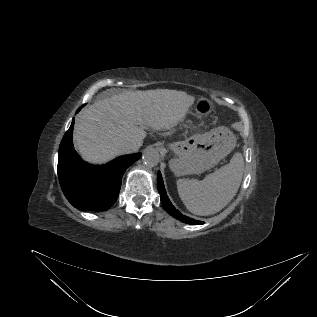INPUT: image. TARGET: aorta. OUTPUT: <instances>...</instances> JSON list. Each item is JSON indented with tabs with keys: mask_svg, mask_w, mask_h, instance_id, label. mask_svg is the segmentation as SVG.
<instances>
[{
	"mask_svg": "<svg viewBox=\"0 0 317 317\" xmlns=\"http://www.w3.org/2000/svg\"><path fill=\"white\" fill-rule=\"evenodd\" d=\"M160 160L159 152L154 148H147L142 155V161L147 167H155Z\"/></svg>",
	"mask_w": 317,
	"mask_h": 317,
	"instance_id": "aorta-1",
	"label": "aorta"
}]
</instances>
